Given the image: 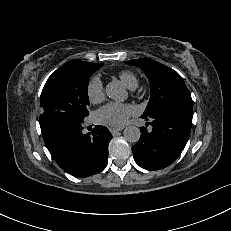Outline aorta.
Masks as SVG:
<instances>
[{
  "label": "aorta",
  "mask_w": 231,
  "mask_h": 231,
  "mask_svg": "<svg viewBox=\"0 0 231 231\" xmlns=\"http://www.w3.org/2000/svg\"><path fill=\"white\" fill-rule=\"evenodd\" d=\"M106 94L115 101H124L128 96L126 89L118 81H112L107 84ZM123 136L128 142L136 143L140 139L141 132L136 126H128L124 129Z\"/></svg>",
  "instance_id": "762f6f07"
}]
</instances>
